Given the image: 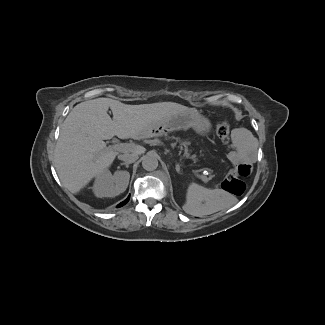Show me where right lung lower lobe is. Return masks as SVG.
I'll return each instance as SVG.
<instances>
[{"label":"right lung lower lobe","mask_w":325,"mask_h":325,"mask_svg":"<svg viewBox=\"0 0 325 325\" xmlns=\"http://www.w3.org/2000/svg\"><path fill=\"white\" fill-rule=\"evenodd\" d=\"M128 201H129V197H128L125 201H123V202H121L120 204H118L117 207H121V206H123V205L126 204Z\"/></svg>","instance_id":"right-lung-lower-lobe-1"}]
</instances>
